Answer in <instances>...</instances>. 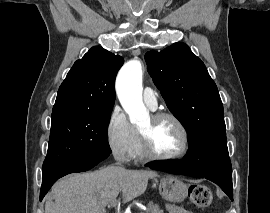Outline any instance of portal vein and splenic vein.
Returning <instances> with one entry per match:
<instances>
[{"instance_id": "portal-vein-and-splenic-vein-1", "label": "portal vein and splenic vein", "mask_w": 270, "mask_h": 213, "mask_svg": "<svg viewBox=\"0 0 270 213\" xmlns=\"http://www.w3.org/2000/svg\"><path fill=\"white\" fill-rule=\"evenodd\" d=\"M117 201H113L109 206H116Z\"/></svg>"}]
</instances>
